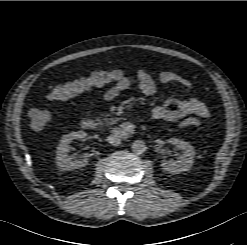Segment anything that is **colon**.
Returning a JSON list of instances; mask_svg holds the SVG:
<instances>
[{
  "label": "colon",
  "mask_w": 247,
  "mask_h": 245,
  "mask_svg": "<svg viewBox=\"0 0 247 245\" xmlns=\"http://www.w3.org/2000/svg\"><path fill=\"white\" fill-rule=\"evenodd\" d=\"M122 76L123 72L119 69L94 71L87 76L54 87L49 92L48 98L53 101H64L93 88L116 82ZM29 118L31 126L38 130L47 124L50 119V113L45 109L33 108L29 111ZM180 125L183 127H200L202 124L197 119L184 118L181 120Z\"/></svg>",
  "instance_id": "5ec220e1"
}]
</instances>
